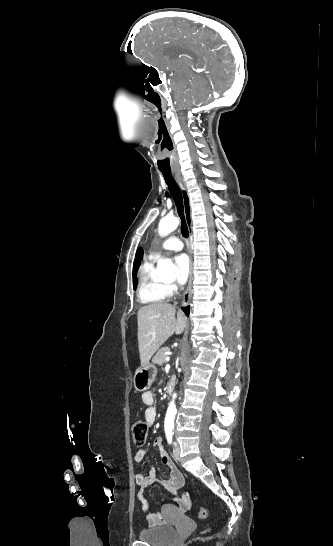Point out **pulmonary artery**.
Wrapping results in <instances>:
<instances>
[{
	"instance_id": "e3ab8cb5",
	"label": "pulmonary artery",
	"mask_w": 333,
	"mask_h": 546,
	"mask_svg": "<svg viewBox=\"0 0 333 546\" xmlns=\"http://www.w3.org/2000/svg\"><path fill=\"white\" fill-rule=\"evenodd\" d=\"M183 248V243L180 239L176 237L167 238L161 245L160 249L165 251H180ZM156 254H153L151 257H155Z\"/></svg>"
}]
</instances>
